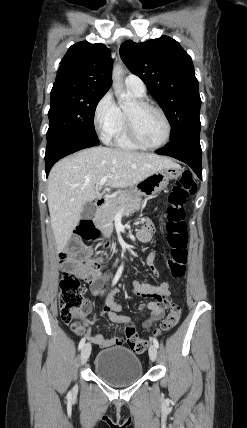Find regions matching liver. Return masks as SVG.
I'll list each match as a JSON object with an SVG mask.
<instances>
[{
	"instance_id": "6515ba94",
	"label": "liver",
	"mask_w": 247,
	"mask_h": 428,
	"mask_svg": "<svg viewBox=\"0 0 247 428\" xmlns=\"http://www.w3.org/2000/svg\"><path fill=\"white\" fill-rule=\"evenodd\" d=\"M180 167L171 159L152 153L92 147L56 163L48 178V207L58 253L63 251L81 219L83 205L98 198L99 181L127 188L164 168Z\"/></svg>"
}]
</instances>
